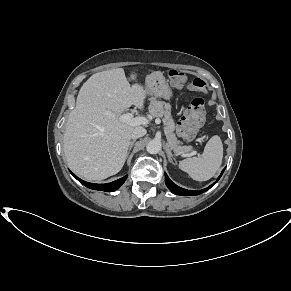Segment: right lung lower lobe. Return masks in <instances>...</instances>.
<instances>
[{"mask_svg":"<svg viewBox=\"0 0 291 291\" xmlns=\"http://www.w3.org/2000/svg\"><path fill=\"white\" fill-rule=\"evenodd\" d=\"M78 181H80L83 185H85L86 187L93 189V190H99V191H106V192H112L117 190L119 187L122 186V184L125 182L127 175L116 180L113 181L111 183H106V184H95V183H89V182H85L83 180H81L80 178H78L77 176H75L73 173H71Z\"/></svg>","mask_w":291,"mask_h":291,"instance_id":"right-lung-lower-lobe-1","label":"right lung lower lobe"}]
</instances>
